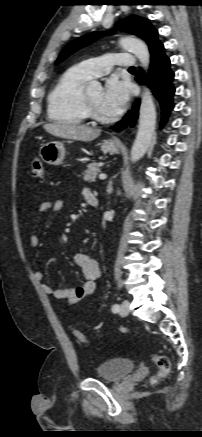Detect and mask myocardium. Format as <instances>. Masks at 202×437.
Instances as JSON below:
<instances>
[{
	"instance_id": "myocardium-1",
	"label": "myocardium",
	"mask_w": 202,
	"mask_h": 437,
	"mask_svg": "<svg viewBox=\"0 0 202 437\" xmlns=\"http://www.w3.org/2000/svg\"><path fill=\"white\" fill-rule=\"evenodd\" d=\"M82 104L87 117L98 121L107 120V118L91 103L85 92H82Z\"/></svg>"
}]
</instances>
